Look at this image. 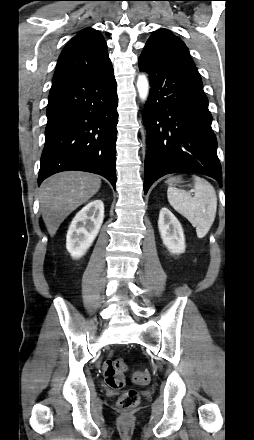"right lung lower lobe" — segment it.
Instances as JSON below:
<instances>
[{
  "label": "right lung lower lobe",
  "mask_w": 254,
  "mask_h": 440,
  "mask_svg": "<svg viewBox=\"0 0 254 440\" xmlns=\"http://www.w3.org/2000/svg\"><path fill=\"white\" fill-rule=\"evenodd\" d=\"M118 96L112 64L53 84L38 184L61 171L96 173L116 184Z\"/></svg>",
  "instance_id": "1"
}]
</instances>
